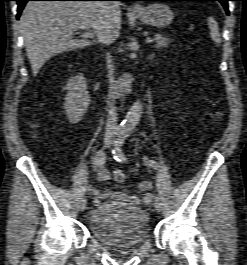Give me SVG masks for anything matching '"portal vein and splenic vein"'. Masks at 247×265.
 <instances>
[{"label": "portal vein and splenic vein", "mask_w": 247, "mask_h": 265, "mask_svg": "<svg viewBox=\"0 0 247 265\" xmlns=\"http://www.w3.org/2000/svg\"><path fill=\"white\" fill-rule=\"evenodd\" d=\"M93 36L94 35H93V33L91 31H88V32L85 33V37L86 38H93ZM153 42H154V39H147L146 40L147 44H150V43H153Z\"/></svg>", "instance_id": "portal-vein-and-splenic-vein-1"}]
</instances>
